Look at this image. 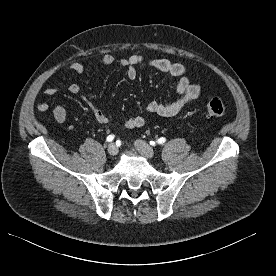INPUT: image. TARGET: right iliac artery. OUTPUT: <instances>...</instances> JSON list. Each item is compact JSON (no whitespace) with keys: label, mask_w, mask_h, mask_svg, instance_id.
Instances as JSON below:
<instances>
[{"label":"right iliac artery","mask_w":276,"mask_h":276,"mask_svg":"<svg viewBox=\"0 0 276 276\" xmlns=\"http://www.w3.org/2000/svg\"><path fill=\"white\" fill-rule=\"evenodd\" d=\"M114 135H109L107 138H106V141L107 142H111L113 139H114Z\"/></svg>","instance_id":"82829eb1"}]
</instances>
